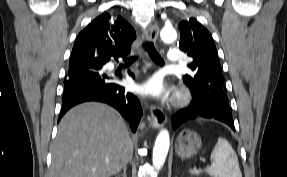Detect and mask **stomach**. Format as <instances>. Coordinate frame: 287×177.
<instances>
[{
	"instance_id": "stomach-1",
	"label": "stomach",
	"mask_w": 287,
	"mask_h": 177,
	"mask_svg": "<svg viewBox=\"0 0 287 177\" xmlns=\"http://www.w3.org/2000/svg\"><path fill=\"white\" fill-rule=\"evenodd\" d=\"M201 146V137L192 130L184 129L177 137L176 153L183 159H189L199 152Z\"/></svg>"
}]
</instances>
